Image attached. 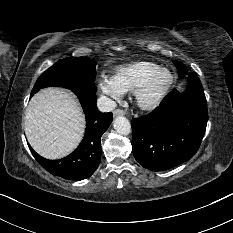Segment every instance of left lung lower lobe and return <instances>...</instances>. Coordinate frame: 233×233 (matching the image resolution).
I'll return each instance as SVG.
<instances>
[{
	"mask_svg": "<svg viewBox=\"0 0 233 233\" xmlns=\"http://www.w3.org/2000/svg\"><path fill=\"white\" fill-rule=\"evenodd\" d=\"M207 120L202 84L190 74L185 93L172 91L152 113L132 120L135 159L152 171L180 165L197 152Z\"/></svg>",
	"mask_w": 233,
	"mask_h": 233,
	"instance_id": "left-lung-lower-lobe-1",
	"label": "left lung lower lobe"
}]
</instances>
